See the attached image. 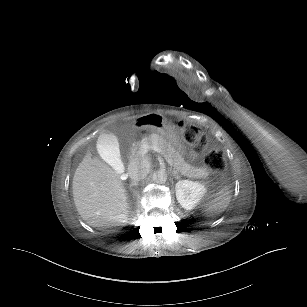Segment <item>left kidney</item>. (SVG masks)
I'll return each mask as SVG.
<instances>
[{
	"label": "left kidney",
	"instance_id": "obj_1",
	"mask_svg": "<svg viewBox=\"0 0 307 307\" xmlns=\"http://www.w3.org/2000/svg\"><path fill=\"white\" fill-rule=\"evenodd\" d=\"M176 198L186 210L194 209L207 192L205 185L198 181L180 180L175 185Z\"/></svg>",
	"mask_w": 307,
	"mask_h": 307
}]
</instances>
